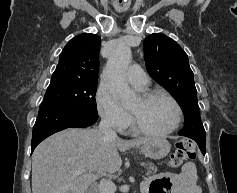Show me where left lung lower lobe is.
<instances>
[{
	"label": "left lung lower lobe",
	"instance_id": "1",
	"mask_svg": "<svg viewBox=\"0 0 237 193\" xmlns=\"http://www.w3.org/2000/svg\"><path fill=\"white\" fill-rule=\"evenodd\" d=\"M198 146H199L201 152L203 154H205L206 153V144H198Z\"/></svg>",
	"mask_w": 237,
	"mask_h": 193
}]
</instances>
